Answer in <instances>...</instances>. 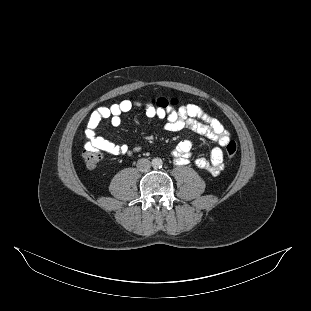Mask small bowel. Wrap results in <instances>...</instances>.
Here are the masks:
<instances>
[{"instance_id":"obj_1","label":"small bowel","mask_w":311,"mask_h":311,"mask_svg":"<svg viewBox=\"0 0 311 311\" xmlns=\"http://www.w3.org/2000/svg\"><path fill=\"white\" fill-rule=\"evenodd\" d=\"M140 106V102L126 99L94 110L87 121L85 129L87 141L84 144V148L102 150L112 155L129 153L130 149L126 144L99 136L96 130L104 119H110L114 127L120 126L122 115ZM145 112L149 118L165 120L164 128L169 132L190 128L217 143V146L211 150L209 159L198 157L194 160V163L198 168L206 170L213 175L221 173L224 168L222 148L227 145L231 136L218 119L195 104L182 106L178 110L146 105ZM172 156L176 163L180 165L187 164L192 157V143L189 140L181 141L172 151Z\"/></svg>"}]
</instances>
